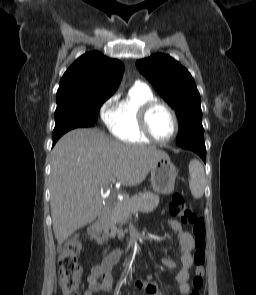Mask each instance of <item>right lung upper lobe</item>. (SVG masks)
Segmentation results:
<instances>
[{"mask_svg": "<svg viewBox=\"0 0 256 295\" xmlns=\"http://www.w3.org/2000/svg\"><path fill=\"white\" fill-rule=\"evenodd\" d=\"M124 65L98 51L79 57L64 73L56 94L57 104L109 98L119 86Z\"/></svg>", "mask_w": 256, "mask_h": 295, "instance_id": "1", "label": "right lung upper lobe"}]
</instances>
